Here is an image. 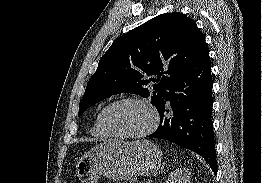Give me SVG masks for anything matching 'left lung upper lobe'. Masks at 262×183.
<instances>
[{"mask_svg":"<svg viewBox=\"0 0 262 183\" xmlns=\"http://www.w3.org/2000/svg\"><path fill=\"white\" fill-rule=\"evenodd\" d=\"M207 47L196 23L179 12L159 15L119 37L102 56L79 103L80 116L99 101L118 93L165 102L173 80ZM166 74V76H161ZM157 75V79L148 78ZM154 81L153 92L145 86Z\"/></svg>","mask_w":262,"mask_h":183,"instance_id":"left-lung-upper-lobe-1","label":"left lung upper lobe"}]
</instances>
